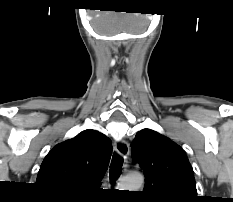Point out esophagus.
Masks as SVG:
<instances>
[{
  "label": "esophagus",
  "instance_id": "1",
  "mask_svg": "<svg viewBox=\"0 0 233 202\" xmlns=\"http://www.w3.org/2000/svg\"><path fill=\"white\" fill-rule=\"evenodd\" d=\"M115 149L120 156L124 157L125 159L128 157L129 145L126 141H124V140L116 141Z\"/></svg>",
  "mask_w": 233,
  "mask_h": 202
}]
</instances>
